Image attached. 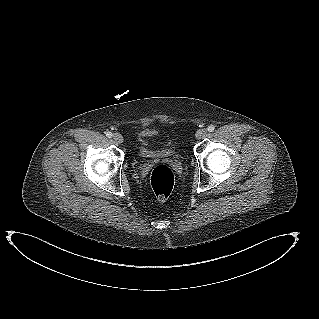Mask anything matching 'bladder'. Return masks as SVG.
<instances>
[{
    "instance_id": "31cf9c89",
    "label": "bladder",
    "mask_w": 319,
    "mask_h": 319,
    "mask_svg": "<svg viewBox=\"0 0 319 319\" xmlns=\"http://www.w3.org/2000/svg\"><path fill=\"white\" fill-rule=\"evenodd\" d=\"M155 131L144 130L138 136V151L143 159L167 158L175 155V150L170 143L162 148L152 147L148 138L153 136Z\"/></svg>"
}]
</instances>
